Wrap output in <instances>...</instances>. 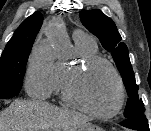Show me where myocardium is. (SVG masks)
<instances>
[{
  "instance_id": "f54148a6",
  "label": "myocardium",
  "mask_w": 151,
  "mask_h": 131,
  "mask_svg": "<svg viewBox=\"0 0 151 131\" xmlns=\"http://www.w3.org/2000/svg\"><path fill=\"white\" fill-rule=\"evenodd\" d=\"M105 65L115 77L118 86V100L116 106L109 112H98L91 109L79 96L76 90V84L78 80L91 68L96 65ZM63 95L65 100L72 106L78 108L84 113L98 119H110L119 114L123 108L126 91L123 79L116 69V67L107 59L100 56H90L82 59L77 65L73 66L72 69L68 72L64 85H63Z\"/></svg>"
}]
</instances>
